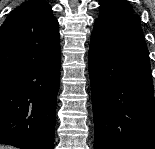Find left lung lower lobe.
Wrapping results in <instances>:
<instances>
[{
  "label": "left lung lower lobe",
  "instance_id": "0a47b994",
  "mask_svg": "<svg viewBox=\"0 0 155 149\" xmlns=\"http://www.w3.org/2000/svg\"><path fill=\"white\" fill-rule=\"evenodd\" d=\"M94 149H155V101L140 17L96 22L88 54Z\"/></svg>",
  "mask_w": 155,
  "mask_h": 149
}]
</instances>
